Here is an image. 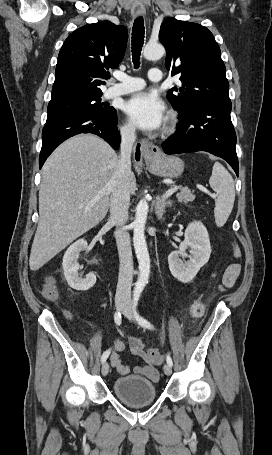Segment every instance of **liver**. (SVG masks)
Here are the masks:
<instances>
[{"label": "liver", "instance_id": "obj_1", "mask_svg": "<svg viewBox=\"0 0 272 455\" xmlns=\"http://www.w3.org/2000/svg\"><path fill=\"white\" fill-rule=\"evenodd\" d=\"M118 156L101 138L81 134L62 143L42 168L39 223L29 266L36 271L106 216ZM131 194L135 175L129 177Z\"/></svg>", "mask_w": 272, "mask_h": 455}]
</instances>
